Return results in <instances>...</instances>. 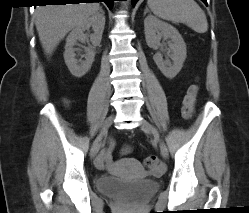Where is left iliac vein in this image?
Returning a JSON list of instances; mask_svg holds the SVG:
<instances>
[{
    "instance_id": "4c4485c4",
    "label": "left iliac vein",
    "mask_w": 249,
    "mask_h": 213,
    "mask_svg": "<svg viewBox=\"0 0 249 213\" xmlns=\"http://www.w3.org/2000/svg\"><path fill=\"white\" fill-rule=\"evenodd\" d=\"M140 127L143 131L147 132V133H151L154 135L156 141L159 142V147H160V152L161 155L164 159H167L168 157V148L166 146V144L164 143V141L160 138L157 130L146 120H142Z\"/></svg>"
}]
</instances>
